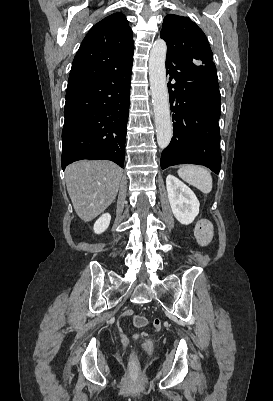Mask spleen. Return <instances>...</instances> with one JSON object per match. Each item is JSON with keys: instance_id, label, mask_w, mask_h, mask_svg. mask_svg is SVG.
<instances>
[{"instance_id": "obj_1", "label": "spleen", "mask_w": 273, "mask_h": 401, "mask_svg": "<svg viewBox=\"0 0 273 401\" xmlns=\"http://www.w3.org/2000/svg\"><path fill=\"white\" fill-rule=\"evenodd\" d=\"M179 176L189 182V184H193L202 192H210L212 190V176L207 170V168H203V166H195V164H186V166H182L178 170Z\"/></svg>"}]
</instances>
